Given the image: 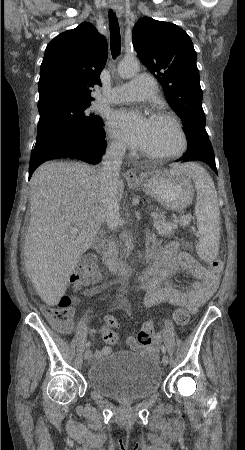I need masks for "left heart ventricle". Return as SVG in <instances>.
Returning <instances> with one entry per match:
<instances>
[{"label":"left heart ventricle","instance_id":"left-heart-ventricle-1","mask_svg":"<svg viewBox=\"0 0 245 450\" xmlns=\"http://www.w3.org/2000/svg\"><path fill=\"white\" fill-rule=\"evenodd\" d=\"M179 144L176 130L167 122L151 121V129L143 150L147 152H169Z\"/></svg>","mask_w":245,"mask_h":450}]
</instances>
